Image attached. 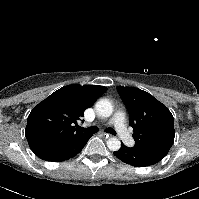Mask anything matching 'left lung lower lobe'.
Segmentation results:
<instances>
[{
    "label": "left lung lower lobe",
    "instance_id": "0a47b994",
    "mask_svg": "<svg viewBox=\"0 0 199 199\" xmlns=\"http://www.w3.org/2000/svg\"><path fill=\"white\" fill-rule=\"evenodd\" d=\"M113 154L122 162L135 167L150 166L163 159L159 156L139 150L135 147H127L124 144L121 145V148L118 151L113 152Z\"/></svg>",
    "mask_w": 199,
    "mask_h": 199
}]
</instances>
